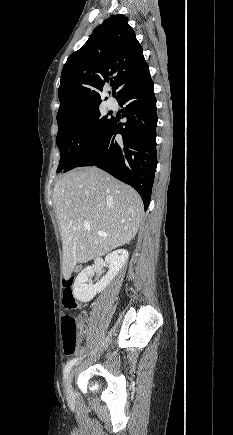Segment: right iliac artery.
I'll return each mask as SVG.
<instances>
[{"mask_svg": "<svg viewBox=\"0 0 233 435\" xmlns=\"http://www.w3.org/2000/svg\"><path fill=\"white\" fill-rule=\"evenodd\" d=\"M79 359H81V358H74L66 364L65 369H64V379L65 380L68 377V374H69L71 368L74 366V364H76L79 361Z\"/></svg>", "mask_w": 233, "mask_h": 435, "instance_id": "1", "label": "right iliac artery"}]
</instances>
